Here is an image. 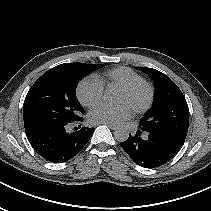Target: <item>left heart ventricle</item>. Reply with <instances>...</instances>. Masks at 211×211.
Returning a JSON list of instances; mask_svg holds the SVG:
<instances>
[{
    "mask_svg": "<svg viewBox=\"0 0 211 211\" xmlns=\"http://www.w3.org/2000/svg\"><path fill=\"white\" fill-rule=\"evenodd\" d=\"M146 91L141 90L137 94L131 96L123 92L122 90L119 92L118 96V103L120 104H127L132 107L134 104L140 103L145 100L146 98Z\"/></svg>",
    "mask_w": 211,
    "mask_h": 211,
    "instance_id": "obj_1",
    "label": "left heart ventricle"
}]
</instances>
